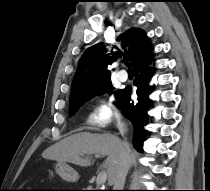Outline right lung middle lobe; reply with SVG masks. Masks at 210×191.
<instances>
[{
    "instance_id": "1",
    "label": "right lung middle lobe",
    "mask_w": 210,
    "mask_h": 191,
    "mask_svg": "<svg viewBox=\"0 0 210 191\" xmlns=\"http://www.w3.org/2000/svg\"><path fill=\"white\" fill-rule=\"evenodd\" d=\"M111 90V81H108L106 82L105 84L99 86L98 88L86 93V94H83L81 96H78L74 99H71L70 100V115H74L79 107L85 103L88 99L94 97L95 95H98V94H103L107 91ZM120 90L116 91V94L115 96H117L119 94ZM113 93V92H111Z\"/></svg>"
}]
</instances>
